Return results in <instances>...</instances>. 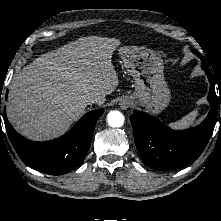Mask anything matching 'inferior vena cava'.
Returning <instances> with one entry per match:
<instances>
[{"label":"inferior vena cava","instance_id":"1","mask_svg":"<svg viewBox=\"0 0 221 221\" xmlns=\"http://www.w3.org/2000/svg\"><path fill=\"white\" fill-rule=\"evenodd\" d=\"M86 104L90 105V104H94L97 102L96 98L93 97H89L85 100Z\"/></svg>","mask_w":221,"mask_h":221}]
</instances>
